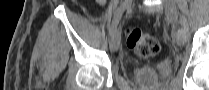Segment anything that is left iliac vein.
<instances>
[{"mask_svg":"<svg viewBox=\"0 0 209 90\" xmlns=\"http://www.w3.org/2000/svg\"><path fill=\"white\" fill-rule=\"evenodd\" d=\"M164 6L167 16L173 21L176 22L179 19V12L176 7V4L173 0L164 1ZM177 30L176 28L174 29Z\"/></svg>","mask_w":209,"mask_h":90,"instance_id":"1","label":"left iliac vein"}]
</instances>
